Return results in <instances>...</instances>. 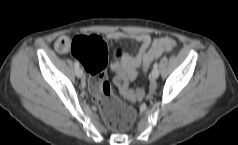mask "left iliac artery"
<instances>
[{
	"instance_id": "44dca946",
	"label": "left iliac artery",
	"mask_w": 238,
	"mask_h": 145,
	"mask_svg": "<svg viewBox=\"0 0 238 145\" xmlns=\"http://www.w3.org/2000/svg\"><path fill=\"white\" fill-rule=\"evenodd\" d=\"M153 67H154V68H157V67H158V63H157V62L154 63Z\"/></svg>"
}]
</instances>
